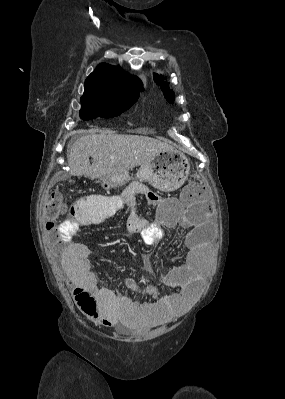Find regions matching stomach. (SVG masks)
I'll list each match as a JSON object with an SVG mask.
<instances>
[{"label": "stomach", "instance_id": "0dacf381", "mask_svg": "<svg viewBox=\"0 0 285 399\" xmlns=\"http://www.w3.org/2000/svg\"><path fill=\"white\" fill-rule=\"evenodd\" d=\"M190 165L187 157L176 149L163 150L138 170L140 181L150 183L162 191H174L183 185L188 177ZM130 180L128 174L122 177H105L102 187L106 190L120 187Z\"/></svg>", "mask_w": 285, "mask_h": 399}]
</instances>
